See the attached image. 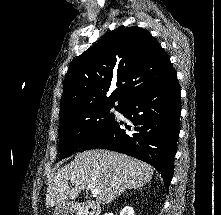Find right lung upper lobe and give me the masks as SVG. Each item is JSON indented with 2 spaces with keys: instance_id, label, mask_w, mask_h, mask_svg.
I'll list each match as a JSON object with an SVG mask.
<instances>
[{
  "instance_id": "obj_1",
  "label": "right lung upper lobe",
  "mask_w": 221,
  "mask_h": 215,
  "mask_svg": "<svg viewBox=\"0 0 221 215\" xmlns=\"http://www.w3.org/2000/svg\"><path fill=\"white\" fill-rule=\"evenodd\" d=\"M173 69L168 55L148 31L137 26L111 31L70 64L61 97V119L88 109L113 107L116 101L119 107Z\"/></svg>"
}]
</instances>
